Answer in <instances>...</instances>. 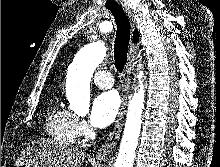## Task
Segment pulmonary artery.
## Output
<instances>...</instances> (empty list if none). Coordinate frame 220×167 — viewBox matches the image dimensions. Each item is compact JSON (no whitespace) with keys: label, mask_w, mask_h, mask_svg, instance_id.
I'll return each mask as SVG.
<instances>
[{"label":"pulmonary artery","mask_w":220,"mask_h":167,"mask_svg":"<svg viewBox=\"0 0 220 167\" xmlns=\"http://www.w3.org/2000/svg\"><path fill=\"white\" fill-rule=\"evenodd\" d=\"M93 82L102 89L111 88L114 84L113 76L106 70H99L93 75Z\"/></svg>","instance_id":"e3ab8cb5"}]
</instances>
